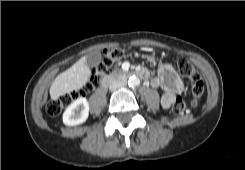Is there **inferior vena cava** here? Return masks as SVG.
<instances>
[{
	"label": "inferior vena cava",
	"instance_id": "602c4592",
	"mask_svg": "<svg viewBox=\"0 0 245 170\" xmlns=\"http://www.w3.org/2000/svg\"><path fill=\"white\" fill-rule=\"evenodd\" d=\"M127 84V79L124 77V78H119L117 80H114L110 83L109 85V89L110 90H116L118 88H121L123 86H125Z\"/></svg>",
	"mask_w": 245,
	"mask_h": 170
}]
</instances>
